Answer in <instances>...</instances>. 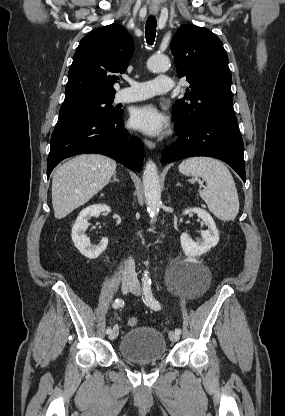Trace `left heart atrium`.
I'll list each match as a JSON object with an SVG mask.
<instances>
[{
	"instance_id": "1",
	"label": "left heart atrium",
	"mask_w": 285,
	"mask_h": 416,
	"mask_svg": "<svg viewBox=\"0 0 285 416\" xmlns=\"http://www.w3.org/2000/svg\"><path fill=\"white\" fill-rule=\"evenodd\" d=\"M132 125L149 135H159L166 127V118L153 105L137 107L131 114Z\"/></svg>"
}]
</instances>
